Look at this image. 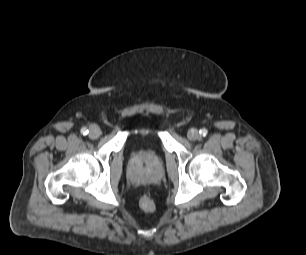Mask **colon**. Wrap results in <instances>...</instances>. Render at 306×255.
Returning <instances> with one entry per match:
<instances>
[{
  "instance_id": "obj_1",
  "label": "colon",
  "mask_w": 306,
  "mask_h": 255,
  "mask_svg": "<svg viewBox=\"0 0 306 255\" xmlns=\"http://www.w3.org/2000/svg\"><path fill=\"white\" fill-rule=\"evenodd\" d=\"M139 205L145 212L152 213L155 210V204L150 195L145 194L140 198Z\"/></svg>"
}]
</instances>
